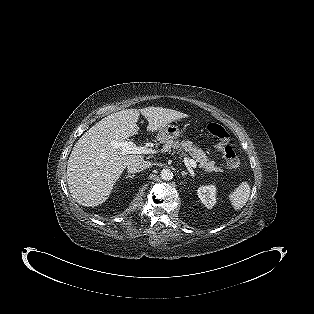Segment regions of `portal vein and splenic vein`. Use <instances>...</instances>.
<instances>
[{
  "mask_svg": "<svg viewBox=\"0 0 314 314\" xmlns=\"http://www.w3.org/2000/svg\"><path fill=\"white\" fill-rule=\"evenodd\" d=\"M112 145L114 148H119L121 150V154L126 155V154H154L156 153L155 150H152L150 148L146 147H139L136 146L134 142H117L113 141ZM184 162L187 166L192 167V168H197L196 161L194 159L190 158H184Z\"/></svg>",
  "mask_w": 314,
  "mask_h": 314,
  "instance_id": "portal-vein-and-splenic-vein-1",
  "label": "portal vein and splenic vein"
}]
</instances>
